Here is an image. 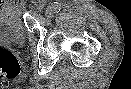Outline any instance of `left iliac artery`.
<instances>
[{"label": "left iliac artery", "mask_w": 131, "mask_h": 89, "mask_svg": "<svg viewBox=\"0 0 131 89\" xmlns=\"http://www.w3.org/2000/svg\"><path fill=\"white\" fill-rule=\"evenodd\" d=\"M53 8L56 12L60 11V6L58 4L53 5Z\"/></svg>", "instance_id": "1"}]
</instances>
